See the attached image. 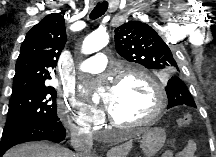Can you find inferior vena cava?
Returning <instances> with one entry per match:
<instances>
[{
	"mask_svg": "<svg viewBox=\"0 0 216 157\" xmlns=\"http://www.w3.org/2000/svg\"><path fill=\"white\" fill-rule=\"evenodd\" d=\"M71 145L77 151L74 157H89L93 145L91 134L79 130L71 132Z\"/></svg>",
	"mask_w": 216,
	"mask_h": 157,
	"instance_id": "obj_1",
	"label": "inferior vena cava"
}]
</instances>
